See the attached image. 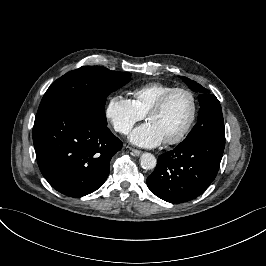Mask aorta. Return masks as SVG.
<instances>
[{
	"instance_id": "762f6f07",
	"label": "aorta",
	"mask_w": 266,
	"mask_h": 266,
	"mask_svg": "<svg viewBox=\"0 0 266 266\" xmlns=\"http://www.w3.org/2000/svg\"><path fill=\"white\" fill-rule=\"evenodd\" d=\"M157 160L151 153H143L140 157V165L145 170H152L156 167Z\"/></svg>"
}]
</instances>
